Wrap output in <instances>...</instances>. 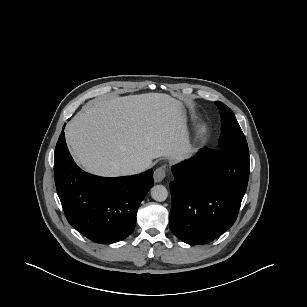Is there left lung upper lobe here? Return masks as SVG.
Returning a JSON list of instances; mask_svg holds the SVG:
<instances>
[{"instance_id":"5c2ea615","label":"left lung upper lobe","mask_w":307,"mask_h":307,"mask_svg":"<svg viewBox=\"0 0 307 307\" xmlns=\"http://www.w3.org/2000/svg\"><path fill=\"white\" fill-rule=\"evenodd\" d=\"M222 118L221 136L219 150L233 151L243 157H249V149L246 138L236 120L235 115L229 107L217 102Z\"/></svg>"}]
</instances>
